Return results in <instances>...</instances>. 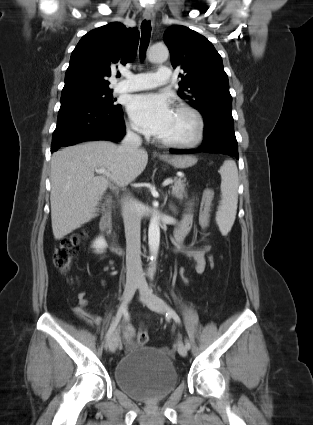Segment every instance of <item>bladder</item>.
Here are the masks:
<instances>
[{"instance_id": "31cf9c89", "label": "bladder", "mask_w": 313, "mask_h": 425, "mask_svg": "<svg viewBox=\"0 0 313 425\" xmlns=\"http://www.w3.org/2000/svg\"><path fill=\"white\" fill-rule=\"evenodd\" d=\"M114 379L130 397L152 401L167 396L174 389L178 374L165 349L140 347L118 361Z\"/></svg>"}]
</instances>
